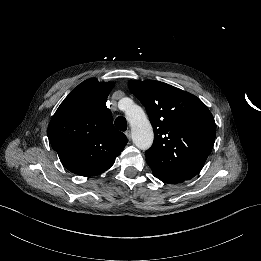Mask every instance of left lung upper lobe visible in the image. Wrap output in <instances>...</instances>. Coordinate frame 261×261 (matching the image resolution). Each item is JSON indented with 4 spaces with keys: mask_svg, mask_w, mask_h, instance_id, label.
<instances>
[{
    "mask_svg": "<svg viewBox=\"0 0 261 261\" xmlns=\"http://www.w3.org/2000/svg\"><path fill=\"white\" fill-rule=\"evenodd\" d=\"M146 108L154 142L145 156L152 171L189 180L197 175L214 145L216 125L206 105L193 94L159 81L128 82Z\"/></svg>",
    "mask_w": 261,
    "mask_h": 261,
    "instance_id": "left-lung-upper-lobe-1",
    "label": "left lung upper lobe"
}]
</instances>
